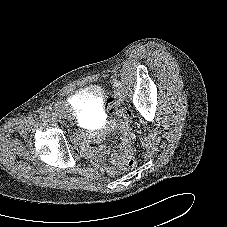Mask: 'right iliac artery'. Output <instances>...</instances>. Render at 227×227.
Returning a JSON list of instances; mask_svg holds the SVG:
<instances>
[{"label":"right iliac artery","mask_w":227,"mask_h":227,"mask_svg":"<svg viewBox=\"0 0 227 227\" xmlns=\"http://www.w3.org/2000/svg\"><path fill=\"white\" fill-rule=\"evenodd\" d=\"M40 116L43 117V118H47V117H48V114H47L46 112H42V113L40 114Z\"/></svg>","instance_id":"right-iliac-artery-1"}]
</instances>
